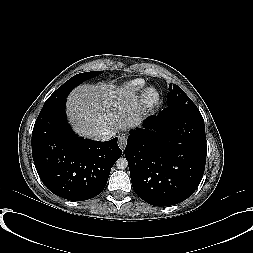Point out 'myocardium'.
Segmentation results:
<instances>
[{
    "mask_svg": "<svg viewBox=\"0 0 253 253\" xmlns=\"http://www.w3.org/2000/svg\"><path fill=\"white\" fill-rule=\"evenodd\" d=\"M160 93L154 86H148L143 90L141 102L144 109L149 110L158 104Z\"/></svg>",
    "mask_w": 253,
    "mask_h": 253,
    "instance_id": "f54148a6",
    "label": "myocardium"
}]
</instances>
